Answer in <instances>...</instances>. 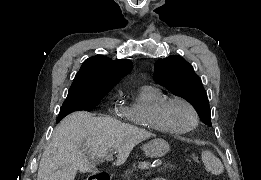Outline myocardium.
Wrapping results in <instances>:
<instances>
[{
    "label": "myocardium",
    "mask_w": 261,
    "mask_h": 180,
    "mask_svg": "<svg viewBox=\"0 0 261 180\" xmlns=\"http://www.w3.org/2000/svg\"><path fill=\"white\" fill-rule=\"evenodd\" d=\"M174 105H181L189 110L191 114V122L188 126L176 127L164 118L163 116L164 110ZM155 117L158 121L160 128L168 134H177V135L187 134L192 130H194L199 122V113L197 108L194 106L193 103H191L190 101L182 97H173L167 99L160 107L157 108L155 112Z\"/></svg>",
    "instance_id": "obj_1"
}]
</instances>
